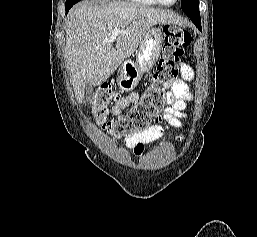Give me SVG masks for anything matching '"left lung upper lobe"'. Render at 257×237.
Here are the masks:
<instances>
[{
  "label": "left lung upper lobe",
  "mask_w": 257,
  "mask_h": 237,
  "mask_svg": "<svg viewBox=\"0 0 257 237\" xmlns=\"http://www.w3.org/2000/svg\"><path fill=\"white\" fill-rule=\"evenodd\" d=\"M181 8L190 19L200 18L199 0H181Z\"/></svg>",
  "instance_id": "5c2ea615"
}]
</instances>
